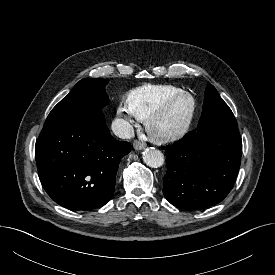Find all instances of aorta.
Masks as SVG:
<instances>
[{"mask_svg":"<svg viewBox=\"0 0 275 275\" xmlns=\"http://www.w3.org/2000/svg\"><path fill=\"white\" fill-rule=\"evenodd\" d=\"M144 163L151 168L161 167L164 163L162 152L155 148H146L142 153Z\"/></svg>","mask_w":275,"mask_h":275,"instance_id":"1","label":"aorta"}]
</instances>
